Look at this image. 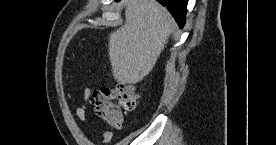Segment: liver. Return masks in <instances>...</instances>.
<instances>
[{
	"label": "liver",
	"instance_id": "1",
	"mask_svg": "<svg viewBox=\"0 0 276 145\" xmlns=\"http://www.w3.org/2000/svg\"><path fill=\"white\" fill-rule=\"evenodd\" d=\"M125 5V24L110 34L108 55L114 79L136 84L152 71L174 21L155 0H127Z\"/></svg>",
	"mask_w": 276,
	"mask_h": 145
}]
</instances>
